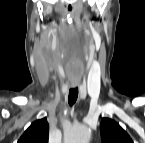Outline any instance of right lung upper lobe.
Segmentation results:
<instances>
[{"label": "right lung upper lobe", "instance_id": "right-lung-upper-lobe-1", "mask_svg": "<svg viewBox=\"0 0 145 143\" xmlns=\"http://www.w3.org/2000/svg\"><path fill=\"white\" fill-rule=\"evenodd\" d=\"M49 125L46 118L33 122L18 143H48Z\"/></svg>", "mask_w": 145, "mask_h": 143}]
</instances>
